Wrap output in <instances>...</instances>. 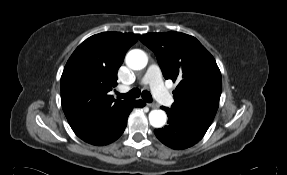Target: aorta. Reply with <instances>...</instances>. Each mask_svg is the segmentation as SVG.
<instances>
[{
    "label": "aorta",
    "instance_id": "aorta-1",
    "mask_svg": "<svg viewBox=\"0 0 287 175\" xmlns=\"http://www.w3.org/2000/svg\"><path fill=\"white\" fill-rule=\"evenodd\" d=\"M126 64L133 70L143 69L148 62L147 55L140 49H133L129 51L125 58ZM167 115L163 110H152L149 113V122L155 128H161L165 125Z\"/></svg>",
    "mask_w": 287,
    "mask_h": 175
}]
</instances>
